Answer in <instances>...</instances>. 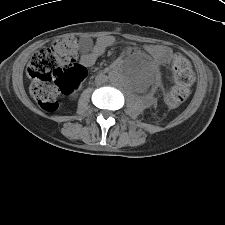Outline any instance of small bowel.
<instances>
[{"label":"small bowel","mask_w":225,"mask_h":225,"mask_svg":"<svg viewBox=\"0 0 225 225\" xmlns=\"http://www.w3.org/2000/svg\"><path fill=\"white\" fill-rule=\"evenodd\" d=\"M115 42L112 36H101L96 40L93 49L82 57V62L85 65H92L95 63L96 59L104 52V50L111 46ZM150 51L155 56V68L158 65L167 61L171 57V52L168 48L163 46H155L150 49ZM127 55L131 54V51L126 52Z\"/></svg>","instance_id":"small-bowel-1"}]
</instances>
